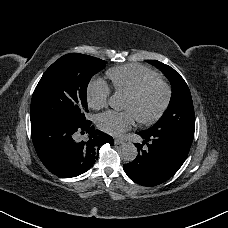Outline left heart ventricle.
Here are the masks:
<instances>
[{"instance_id": "b2bd125f", "label": "left heart ventricle", "mask_w": 228, "mask_h": 228, "mask_svg": "<svg viewBox=\"0 0 228 228\" xmlns=\"http://www.w3.org/2000/svg\"><path fill=\"white\" fill-rule=\"evenodd\" d=\"M162 95V88L156 87L153 91L138 100H132L127 97L122 108L131 111L134 116H137L140 119H145L156 112L161 102Z\"/></svg>"}]
</instances>
